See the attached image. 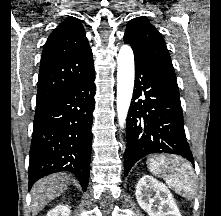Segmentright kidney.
I'll use <instances>...</instances> for the list:
<instances>
[{
	"label": "right kidney",
	"mask_w": 221,
	"mask_h": 216,
	"mask_svg": "<svg viewBox=\"0 0 221 216\" xmlns=\"http://www.w3.org/2000/svg\"><path fill=\"white\" fill-rule=\"evenodd\" d=\"M46 216H70V208L67 205H58L50 210Z\"/></svg>",
	"instance_id": "obj_1"
}]
</instances>
